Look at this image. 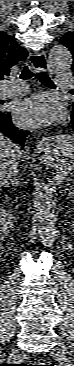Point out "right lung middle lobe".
<instances>
[{
  "label": "right lung middle lobe",
  "instance_id": "1",
  "mask_svg": "<svg viewBox=\"0 0 74 366\" xmlns=\"http://www.w3.org/2000/svg\"><path fill=\"white\" fill-rule=\"evenodd\" d=\"M0 104H3V101L0 100Z\"/></svg>",
  "mask_w": 74,
  "mask_h": 366
}]
</instances>
